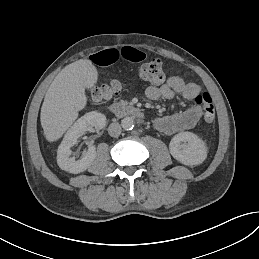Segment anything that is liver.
<instances>
[{"label":"liver","mask_w":259,"mask_h":259,"mask_svg":"<svg viewBox=\"0 0 259 259\" xmlns=\"http://www.w3.org/2000/svg\"><path fill=\"white\" fill-rule=\"evenodd\" d=\"M98 79L90 60L80 59L67 65L49 86L41 107L40 120L49 142L62 137L87 102L85 88H92Z\"/></svg>","instance_id":"6515ba94"}]
</instances>
